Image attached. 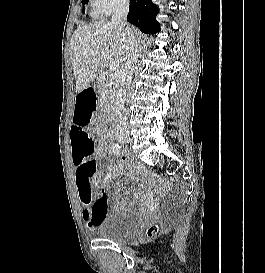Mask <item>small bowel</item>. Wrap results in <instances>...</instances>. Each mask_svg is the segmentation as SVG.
Instances as JSON below:
<instances>
[{
  "label": "small bowel",
  "instance_id": "obj_1",
  "mask_svg": "<svg viewBox=\"0 0 265 273\" xmlns=\"http://www.w3.org/2000/svg\"><path fill=\"white\" fill-rule=\"evenodd\" d=\"M94 107V91H81L76 97L75 124L72 125L70 132L77 196L81 207L82 219L89 230H93L95 225L107 214V186L127 166L126 158L121 157L118 164H111L106 170L96 169V161L93 159L95 152L94 142L82 136L83 132L87 131L85 123H90ZM105 152L106 148L104 145H101L97 150L99 155ZM94 188H98L100 194L93 203ZM96 203L100 204L98 212H96L94 207ZM115 208L118 209L119 206L117 205Z\"/></svg>",
  "mask_w": 265,
  "mask_h": 273
}]
</instances>
